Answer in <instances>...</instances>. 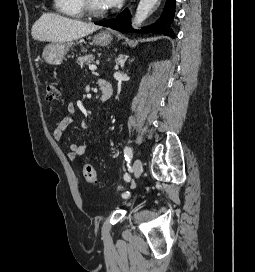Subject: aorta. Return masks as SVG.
<instances>
[{
  "mask_svg": "<svg viewBox=\"0 0 255 272\" xmlns=\"http://www.w3.org/2000/svg\"><path fill=\"white\" fill-rule=\"evenodd\" d=\"M159 1L160 0H140L134 17V27H138L142 24Z\"/></svg>",
  "mask_w": 255,
  "mask_h": 272,
  "instance_id": "1",
  "label": "aorta"
}]
</instances>
